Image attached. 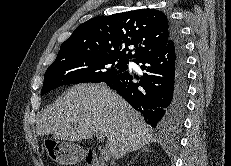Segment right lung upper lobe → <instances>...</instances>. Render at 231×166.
Returning <instances> with one entry per match:
<instances>
[{
  "instance_id": "1",
  "label": "right lung upper lobe",
  "mask_w": 231,
  "mask_h": 166,
  "mask_svg": "<svg viewBox=\"0 0 231 166\" xmlns=\"http://www.w3.org/2000/svg\"><path fill=\"white\" fill-rule=\"evenodd\" d=\"M170 40L171 22L166 15L155 9H140L82 23L60 46L57 58L97 53L135 61L160 51Z\"/></svg>"
}]
</instances>
